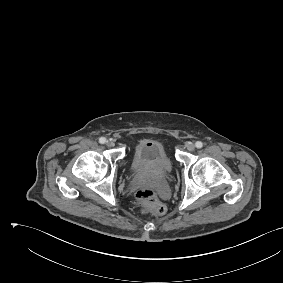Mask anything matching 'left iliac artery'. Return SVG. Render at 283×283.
I'll return each mask as SVG.
<instances>
[{
  "mask_svg": "<svg viewBox=\"0 0 283 283\" xmlns=\"http://www.w3.org/2000/svg\"><path fill=\"white\" fill-rule=\"evenodd\" d=\"M195 145H196L197 148H202L203 147V143L201 141H197L195 143Z\"/></svg>",
  "mask_w": 283,
  "mask_h": 283,
  "instance_id": "44dca946",
  "label": "left iliac artery"
}]
</instances>
